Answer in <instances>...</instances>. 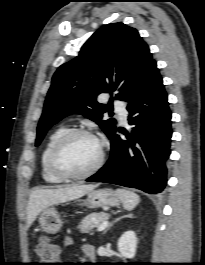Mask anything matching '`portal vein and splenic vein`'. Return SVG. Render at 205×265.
<instances>
[{
    "label": "portal vein and splenic vein",
    "instance_id": "obj_1",
    "mask_svg": "<svg viewBox=\"0 0 205 265\" xmlns=\"http://www.w3.org/2000/svg\"><path fill=\"white\" fill-rule=\"evenodd\" d=\"M107 225H108V221H107V220L103 221V222L97 227V231H102V230H104V229L107 227Z\"/></svg>",
    "mask_w": 205,
    "mask_h": 265
}]
</instances>
